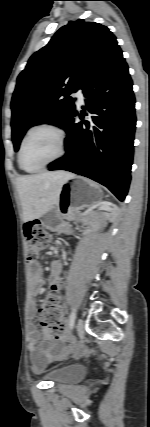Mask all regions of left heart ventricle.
<instances>
[{
	"instance_id": "1",
	"label": "left heart ventricle",
	"mask_w": 150,
	"mask_h": 427,
	"mask_svg": "<svg viewBox=\"0 0 150 427\" xmlns=\"http://www.w3.org/2000/svg\"><path fill=\"white\" fill-rule=\"evenodd\" d=\"M59 150L57 136L50 131H39L27 141L23 151V165L34 170L56 156Z\"/></svg>"
}]
</instances>
